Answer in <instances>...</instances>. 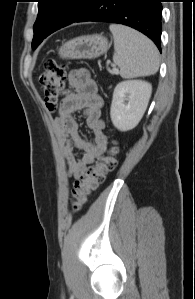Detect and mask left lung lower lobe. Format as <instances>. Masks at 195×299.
<instances>
[{
  "mask_svg": "<svg viewBox=\"0 0 195 299\" xmlns=\"http://www.w3.org/2000/svg\"><path fill=\"white\" fill-rule=\"evenodd\" d=\"M162 0H90L76 22H112L148 36L161 51Z\"/></svg>",
  "mask_w": 195,
  "mask_h": 299,
  "instance_id": "0a47b994",
  "label": "left lung lower lobe"
}]
</instances>
